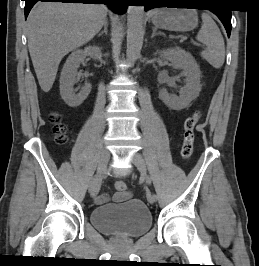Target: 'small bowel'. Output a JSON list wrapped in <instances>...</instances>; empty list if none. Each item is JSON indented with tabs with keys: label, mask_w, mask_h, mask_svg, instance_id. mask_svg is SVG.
<instances>
[{
	"label": "small bowel",
	"mask_w": 259,
	"mask_h": 266,
	"mask_svg": "<svg viewBox=\"0 0 259 266\" xmlns=\"http://www.w3.org/2000/svg\"><path fill=\"white\" fill-rule=\"evenodd\" d=\"M130 196H131V194L129 192H124V193L116 192L113 195V200L116 202H122V201H125L128 198H130ZM107 200H108L107 195L103 194V195H99L95 198V203L101 205V204L106 203Z\"/></svg>",
	"instance_id": "small-bowel-1"
}]
</instances>
